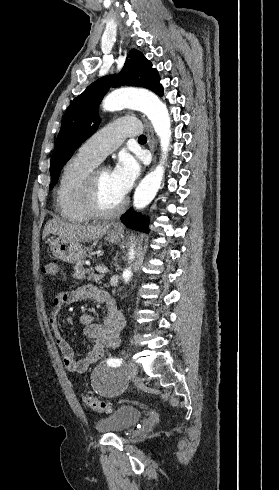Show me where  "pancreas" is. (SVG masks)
I'll list each match as a JSON object with an SVG mask.
<instances>
[{"label":"pancreas","instance_id":"pancreas-1","mask_svg":"<svg viewBox=\"0 0 279 490\" xmlns=\"http://www.w3.org/2000/svg\"><path fill=\"white\" fill-rule=\"evenodd\" d=\"M73 278L76 280H93V282H99L102 280L103 276H98V274H93L88 268H84V262H77L74 266Z\"/></svg>","mask_w":279,"mask_h":490}]
</instances>
